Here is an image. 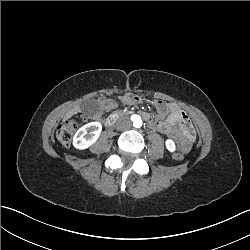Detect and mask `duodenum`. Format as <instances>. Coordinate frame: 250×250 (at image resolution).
Instances as JSON below:
<instances>
[{
  "mask_svg": "<svg viewBox=\"0 0 250 250\" xmlns=\"http://www.w3.org/2000/svg\"><path fill=\"white\" fill-rule=\"evenodd\" d=\"M119 118H120V114H119V113L112 114V115L109 117L108 125H109V126L114 125V123H115Z\"/></svg>",
  "mask_w": 250,
  "mask_h": 250,
  "instance_id": "410a0bca",
  "label": "duodenum"
}]
</instances>
